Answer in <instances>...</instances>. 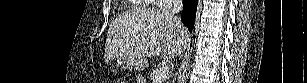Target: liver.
<instances>
[{
    "mask_svg": "<svg viewBox=\"0 0 307 83\" xmlns=\"http://www.w3.org/2000/svg\"><path fill=\"white\" fill-rule=\"evenodd\" d=\"M188 44L187 29L170 12L136 10L123 14L110 25L104 61L109 64L119 56L146 60L158 55L169 60Z\"/></svg>",
    "mask_w": 307,
    "mask_h": 83,
    "instance_id": "1",
    "label": "liver"
}]
</instances>
